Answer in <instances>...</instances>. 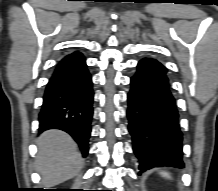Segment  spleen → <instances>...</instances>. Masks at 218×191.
<instances>
[{
    "label": "spleen",
    "instance_id": "obj_1",
    "mask_svg": "<svg viewBox=\"0 0 218 191\" xmlns=\"http://www.w3.org/2000/svg\"><path fill=\"white\" fill-rule=\"evenodd\" d=\"M160 174L164 178L171 179V175L168 172L162 171Z\"/></svg>",
    "mask_w": 218,
    "mask_h": 191
}]
</instances>
